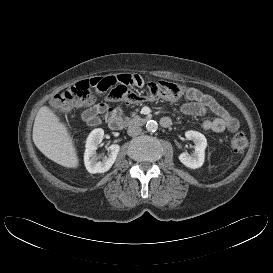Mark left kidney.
<instances>
[{
	"instance_id": "obj_1",
	"label": "left kidney",
	"mask_w": 273,
	"mask_h": 273,
	"mask_svg": "<svg viewBox=\"0 0 273 273\" xmlns=\"http://www.w3.org/2000/svg\"><path fill=\"white\" fill-rule=\"evenodd\" d=\"M185 137L194 142V153L191 155L181 153L179 155V160L188 168H199L203 165L205 159V149L207 146L206 137L203 134L193 130L187 131L185 133Z\"/></svg>"
}]
</instances>
